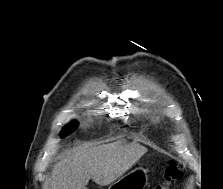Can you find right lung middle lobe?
<instances>
[{
	"label": "right lung middle lobe",
	"mask_w": 223,
	"mask_h": 189,
	"mask_svg": "<svg viewBox=\"0 0 223 189\" xmlns=\"http://www.w3.org/2000/svg\"><path fill=\"white\" fill-rule=\"evenodd\" d=\"M78 127V124L76 122H73L72 124L66 126L62 132H61V137H66L73 133Z\"/></svg>",
	"instance_id": "dd1d6c3e"
}]
</instances>
